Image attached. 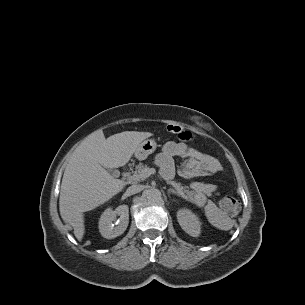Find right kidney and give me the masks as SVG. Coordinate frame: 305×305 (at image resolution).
Masks as SVG:
<instances>
[{"label":"right kidney","mask_w":305,"mask_h":305,"mask_svg":"<svg viewBox=\"0 0 305 305\" xmlns=\"http://www.w3.org/2000/svg\"><path fill=\"white\" fill-rule=\"evenodd\" d=\"M120 216L119 219H116ZM129 223V208L127 205H120L115 210L107 208L99 220V232L104 238H115L126 230Z\"/></svg>","instance_id":"obj_1"}]
</instances>
